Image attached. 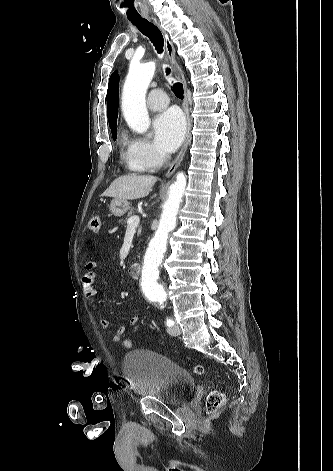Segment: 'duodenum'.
<instances>
[{"instance_id": "duodenum-1", "label": "duodenum", "mask_w": 333, "mask_h": 471, "mask_svg": "<svg viewBox=\"0 0 333 471\" xmlns=\"http://www.w3.org/2000/svg\"><path fill=\"white\" fill-rule=\"evenodd\" d=\"M141 269L142 266L140 263H133L128 268L129 275L133 278H138L140 276Z\"/></svg>"}]
</instances>
